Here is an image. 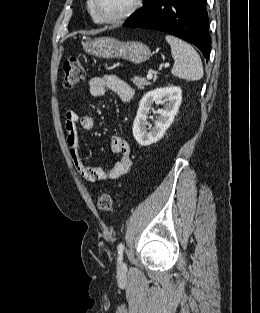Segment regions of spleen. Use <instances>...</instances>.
I'll list each match as a JSON object with an SVG mask.
<instances>
[{"mask_svg": "<svg viewBox=\"0 0 260 313\" xmlns=\"http://www.w3.org/2000/svg\"><path fill=\"white\" fill-rule=\"evenodd\" d=\"M166 41L170 44L174 65L171 73L181 79L197 81L203 77V66L199 54L185 41L166 35Z\"/></svg>", "mask_w": 260, "mask_h": 313, "instance_id": "spleen-1", "label": "spleen"}]
</instances>
